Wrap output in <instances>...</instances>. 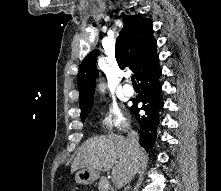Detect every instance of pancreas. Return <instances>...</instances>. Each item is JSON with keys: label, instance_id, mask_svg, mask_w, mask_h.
Segmentation results:
<instances>
[{"label": "pancreas", "instance_id": "obj_1", "mask_svg": "<svg viewBox=\"0 0 221 191\" xmlns=\"http://www.w3.org/2000/svg\"><path fill=\"white\" fill-rule=\"evenodd\" d=\"M108 180L105 177H101L99 182H98V190L99 191H114L113 189L107 188L106 185L108 184Z\"/></svg>", "mask_w": 221, "mask_h": 191}]
</instances>
